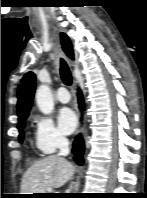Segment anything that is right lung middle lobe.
Masks as SVG:
<instances>
[{
  "instance_id": "right-lung-middle-lobe-1",
  "label": "right lung middle lobe",
  "mask_w": 147,
  "mask_h": 198,
  "mask_svg": "<svg viewBox=\"0 0 147 198\" xmlns=\"http://www.w3.org/2000/svg\"><path fill=\"white\" fill-rule=\"evenodd\" d=\"M25 121H26V118L23 119L22 121H19L18 123V130H19V142H22L23 141V138H24V127H25Z\"/></svg>"
}]
</instances>
